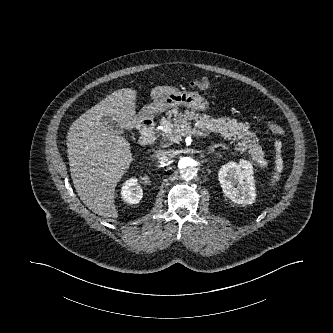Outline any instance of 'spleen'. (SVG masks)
Listing matches in <instances>:
<instances>
[{"instance_id": "spleen-1", "label": "spleen", "mask_w": 333, "mask_h": 333, "mask_svg": "<svg viewBox=\"0 0 333 333\" xmlns=\"http://www.w3.org/2000/svg\"><path fill=\"white\" fill-rule=\"evenodd\" d=\"M275 147H276V171H277V174H278L282 170L281 143L280 142H276L275 143ZM278 178H279V175L275 176V178L273 179L272 183H274L275 181H277Z\"/></svg>"}]
</instances>
